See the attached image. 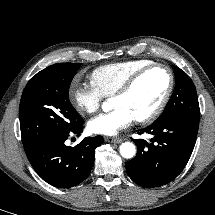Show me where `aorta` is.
Segmentation results:
<instances>
[{
    "label": "aorta",
    "mask_w": 215,
    "mask_h": 215,
    "mask_svg": "<svg viewBox=\"0 0 215 215\" xmlns=\"http://www.w3.org/2000/svg\"><path fill=\"white\" fill-rule=\"evenodd\" d=\"M107 103L103 104V109H106ZM136 153L135 145L131 142H124L120 146V154L122 157L129 159L134 157Z\"/></svg>",
    "instance_id": "aorta-1"
}]
</instances>
